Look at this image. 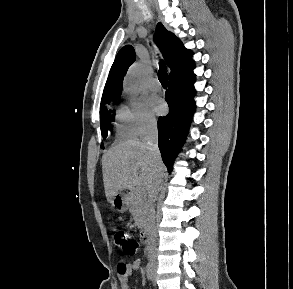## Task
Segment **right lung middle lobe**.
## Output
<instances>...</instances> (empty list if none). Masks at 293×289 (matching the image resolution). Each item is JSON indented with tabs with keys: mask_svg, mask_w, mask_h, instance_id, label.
Here are the masks:
<instances>
[{
	"mask_svg": "<svg viewBox=\"0 0 293 289\" xmlns=\"http://www.w3.org/2000/svg\"><path fill=\"white\" fill-rule=\"evenodd\" d=\"M117 98V97H116ZM114 98H111L109 100H106L104 102H101V107H100V123H101V134L103 138L107 137L108 130L110 129V122L114 121L115 115H111L108 111H103V107L106 103H109L110 100ZM103 147V144L101 145Z\"/></svg>",
	"mask_w": 293,
	"mask_h": 289,
	"instance_id": "1",
	"label": "right lung middle lobe"
}]
</instances>
